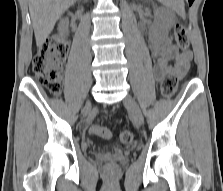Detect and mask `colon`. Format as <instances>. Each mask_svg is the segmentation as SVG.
<instances>
[{
  "mask_svg": "<svg viewBox=\"0 0 223 191\" xmlns=\"http://www.w3.org/2000/svg\"><path fill=\"white\" fill-rule=\"evenodd\" d=\"M174 37L181 51H187L189 40L186 28L177 24L174 27ZM68 52L67 45L61 40H51L44 44L41 50L36 54L32 61V69L35 74L36 82L41 87L47 89L51 94L58 95L62 90V69ZM178 77L175 73H169L162 81V93L166 98L174 95L177 89ZM93 134L104 139H108L111 133L108 129L93 126ZM120 142L130 144L133 141V133L129 130H123L119 134ZM107 171L113 173L116 171V165L111 163L107 166Z\"/></svg>",
  "mask_w": 223,
  "mask_h": 191,
  "instance_id": "5ec220e1",
  "label": "colon"
}]
</instances>
